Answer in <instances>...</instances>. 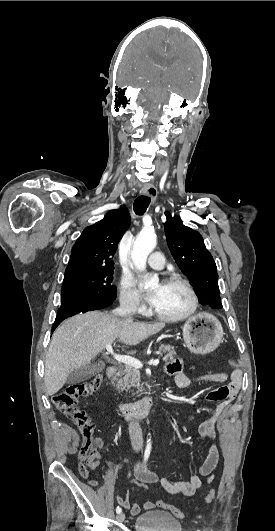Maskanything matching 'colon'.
Instances as JSON below:
<instances>
[{"label":"colon","mask_w":275,"mask_h":531,"mask_svg":"<svg viewBox=\"0 0 275 531\" xmlns=\"http://www.w3.org/2000/svg\"><path fill=\"white\" fill-rule=\"evenodd\" d=\"M230 365L236 368L239 366V362L235 359H231ZM101 383L102 376L96 375L87 380H82L69 385L65 390L58 392L54 397L55 407L74 422L82 436V443L79 450V472L85 478L88 477L86 463L94 464L97 461L95 458L97 450L94 444L95 428L87 413L78 408L77 400L82 396L95 393L101 386ZM90 485L95 486L96 482L91 480ZM142 486L144 487L143 491L148 489L146 484H142ZM216 495L215 489H210L205 496L206 504L212 503L215 500ZM158 503L160 507L159 509L166 511L177 518L183 516V513L173 504L164 501H158Z\"/></svg>","instance_id":"5ec220e1"}]
</instances>
